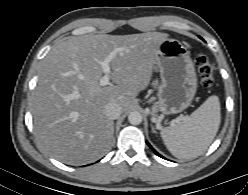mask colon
I'll return each instance as SVG.
<instances>
[{"label":"colon","mask_w":248,"mask_h":195,"mask_svg":"<svg viewBox=\"0 0 248 195\" xmlns=\"http://www.w3.org/2000/svg\"><path fill=\"white\" fill-rule=\"evenodd\" d=\"M196 65L200 75L202 86L209 88L214 83L215 65L204 54H198L196 57Z\"/></svg>","instance_id":"obj_1"}]
</instances>
